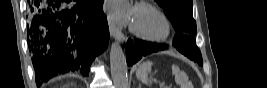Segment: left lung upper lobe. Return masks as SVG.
<instances>
[{
    "label": "left lung upper lobe",
    "instance_id": "left-lung-upper-lobe-1",
    "mask_svg": "<svg viewBox=\"0 0 267 88\" xmlns=\"http://www.w3.org/2000/svg\"><path fill=\"white\" fill-rule=\"evenodd\" d=\"M172 22L176 32L196 33L192 0H155Z\"/></svg>",
    "mask_w": 267,
    "mask_h": 88
}]
</instances>
